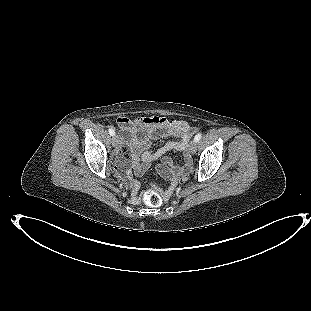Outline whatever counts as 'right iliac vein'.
<instances>
[{
	"instance_id": "1",
	"label": "right iliac vein",
	"mask_w": 311,
	"mask_h": 311,
	"mask_svg": "<svg viewBox=\"0 0 311 311\" xmlns=\"http://www.w3.org/2000/svg\"><path fill=\"white\" fill-rule=\"evenodd\" d=\"M119 142H120V140H119V137H118V135H114L113 137H112V145L114 146V147H118V145H119Z\"/></svg>"
}]
</instances>
